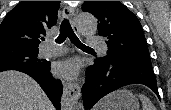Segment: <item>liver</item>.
Returning <instances> with one entry per match:
<instances>
[{"instance_id": "obj_1", "label": "liver", "mask_w": 171, "mask_h": 110, "mask_svg": "<svg viewBox=\"0 0 171 110\" xmlns=\"http://www.w3.org/2000/svg\"><path fill=\"white\" fill-rule=\"evenodd\" d=\"M103 103L96 105L99 110ZM0 110H54L39 84L18 71L0 72Z\"/></svg>"}]
</instances>
